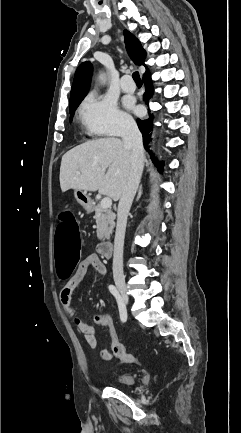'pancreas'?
Returning <instances> with one entry per match:
<instances>
[{
    "label": "pancreas",
    "instance_id": "1",
    "mask_svg": "<svg viewBox=\"0 0 241 433\" xmlns=\"http://www.w3.org/2000/svg\"><path fill=\"white\" fill-rule=\"evenodd\" d=\"M93 210L98 239L102 241L108 239L115 226V213L109 208H102L100 204L94 206Z\"/></svg>",
    "mask_w": 241,
    "mask_h": 433
}]
</instances>
